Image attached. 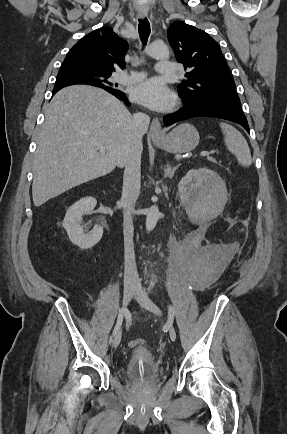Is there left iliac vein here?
<instances>
[{
  "mask_svg": "<svg viewBox=\"0 0 287 434\" xmlns=\"http://www.w3.org/2000/svg\"><path fill=\"white\" fill-rule=\"evenodd\" d=\"M134 298L138 301V303L145 309L149 310L150 312L161 315V311L158 308V306L148 297L144 289L142 288L141 284L138 283L135 292H134ZM169 336L172 341L176 340V331L174 327L171 324H168L167 326Z\"/></svg>",
  "mask_w": 287,
  "mask_h": 434,
  "instance_id": "1",
  "label": "left iliac vein"
}]
</instances>
